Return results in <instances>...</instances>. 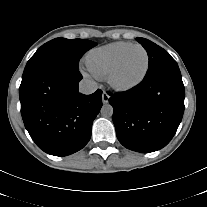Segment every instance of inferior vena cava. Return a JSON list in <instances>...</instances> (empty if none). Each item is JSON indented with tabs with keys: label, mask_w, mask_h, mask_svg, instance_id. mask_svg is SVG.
<instances>
[{
	"label": "inferior vena cava",
	"mask_w": 207,
	"mask_h": 207,
	"mask_svg": "<svg viewBox=\"0 0 207 207\" xmlns=\"http://www.w3.org/2000/svg\"><path fill=\"white\" fill-rule=\"evenodd\" d=\"M97 88V83L91 78L83 79L79 83V91L83 94H92L97 90Z\"/></svg>",
	"instance_id": "obj_1"
}]
</instances>
